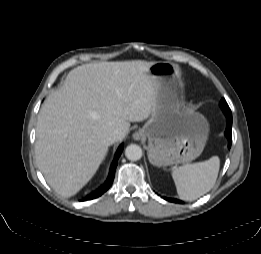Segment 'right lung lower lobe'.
Instances as JSON below:
<instances>
[{"label": "right lung lower lobe", "mask_w": 261, "mask_h": 254, "mask_svg": "<svg viewBox=\"0 0 261 254\" xmlns=\"http://www.w3.org/2000/svg\"><path fill=\"white\" fill-rule=\"evenodd\" d=\"M122 150H123V146L120 145L116 154H115V158H114L113 163H112L111 168H110L109 176H108L107 180L105 181V183L98 190H96L92 194L85 197L83 199L84 201L97 198L109 189V187L111 186V184L114 180L115 170H116L118 159H119V156H120Z\"/></svg>", "instance_id": "obj_1"}]
</instances>
